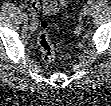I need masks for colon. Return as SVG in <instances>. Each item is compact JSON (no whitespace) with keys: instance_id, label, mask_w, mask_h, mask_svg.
Here are the masks:
<instances>
[{"instance_id":"1","label":"colon","mask_w":111,"mask_h":106,"mask_svg":"<svg viewBox=\"0 0 111 106\" xmlns=\"http://www.w3.org/2000/svg\"><path fill=\"white\" fill-rule=\"evenodd\" d=\"M49 26L50 23L46 19H42L39 22V32L37 37L38 46L42 53V59L45 64L49 65L53 62L55 57V52L53 45L49 38Z\"/></svg>"}]
</instances>
